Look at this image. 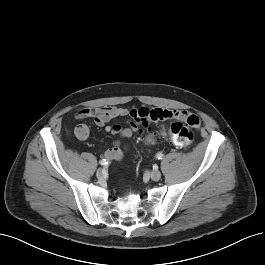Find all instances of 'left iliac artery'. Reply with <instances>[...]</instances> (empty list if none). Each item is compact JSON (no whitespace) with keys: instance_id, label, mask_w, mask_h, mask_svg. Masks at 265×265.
I'll return each instance as SVG.
<instances>
[{"instance_id":"obj_1","label":"left iliac artery","mask_w":265,"mask_h":265,"mask_svg":"<svg viewBox=\"0 0 265 265\" xmlns=\"http://www.w3.org/2000/svg\"><path fill=\"white\" fill-rule=\"evenodd\" d=\"M163 156H164V155H163L162 153H157V154H156V158H157V159H163Z\"/></svg>"}]
</instances>
